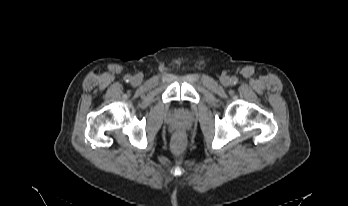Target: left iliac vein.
<instances>
[{"label": "left iliac vein", "mask_w": 348, "mask_h": 206, "mask_svg": "<svg viewBox=\"0 0 348 206\" xmlns=\"http://www.w3.org/2000/svg\"><path fill=\"white\" fill-rule=\"evenodd\" d=\"M220 82L223 86H228L230 84V79L227 76H223L221 77Z\"/></svg>", "instance_id": "4c4485c4"}]
</instances>
